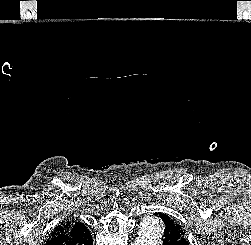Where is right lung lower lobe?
<instances>
[{
  "mask_svg": "<svg viewBox=\"0 0 251 245\" xmlns=\"http://www.w3.org/2000/svg\"><path fill=\"white\" fill-rule=\"evenodd\" d=\"M45 245H93V240L86 227L79 232L71 231L69 233L56 236L50 235Z\"/></svg>",
  "mask_w": 251,
  "mask_h": 245,
  "instance_id": "1",
  "label": "right lung lower lobe"
}]
</instances>
